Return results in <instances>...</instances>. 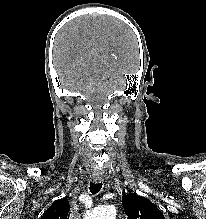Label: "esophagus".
<instances>
[{"mask_svg": "<svg viewBox=\"0 0 206 219\" xmlns=\"http://www.w3.org/2000/svg\"><path fill=\"white\" fill-rule=\"evenodd\" d=\"M92 179L95 183H99L102 180V175L101 174H93Z\"/></svg>", "mask_w": 206, "mask_h": 219, "instance_id": "1", "label": "esophagus"}]
</instances>
